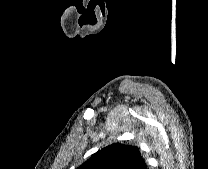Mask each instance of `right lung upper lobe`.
Listing matches in <instances>:
<instances>
[{
  "instance_id": "cb5924a9",
  "label": "right lung upper lobe",
  "mask_w": 208,
  "mask_h": 169,
  "mask_svg": "<svg viewBox=\"0 0 208 169\" xmlns=\"http://www.w3.org/2000/svg\"><path fill=\"white\" fill-rule=\"evenodd\" d=\"M77 169H147L136 146L114 143L94 153Z\"/></svg>"
}]
</instances>
